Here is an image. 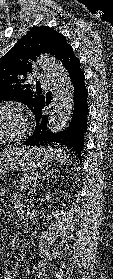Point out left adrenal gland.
<instances>
[{"instance_id":"1","label":"left adrenal gland","mask_w":113,"mask_h":279,"mask_svg":"<svg viewBox=\"0 0 113 279\" xmlns=\"http://www.w3.org/2000/svg\"><path fill=\"white\" fill-rule=\"evenodd\" d=\"M53 173H54V170L49 171V172H47L46 174H44L38 181H36V182L33 184L32 188H31V190H30V194H34L35 191H36V187L39 186V184H40L41 182H43V181L45 180L46 177L52 175Z\"/></svg>"}]
</instances>
